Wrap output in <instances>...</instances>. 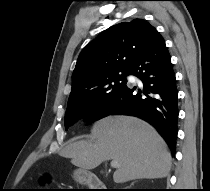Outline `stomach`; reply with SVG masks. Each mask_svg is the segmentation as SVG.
<instances>
[{
	"label": "stomach",
	"mask_w": 210,
	"mask_h": 191,
	"mask_svg": "<svg viewBox=\"0 0 210 191\" xmlns=\"http://www.w3.org/2000/svg\"><path fill=\"white\" fill-rule=\"evenodd\" d=\"M74 178L80 184H88L91 179V174L83 169H78L74 172Z\"/></svg>",
	"instance_id": "obj_1"
}]
</instances>
